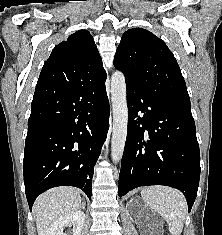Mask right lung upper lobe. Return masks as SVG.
Masks as SVG:
<instances>
[{
	"instance_id": "1",
	"label": "right lung upper lobe",
	"mask_w": 222,
	"mask_h": 235,
	"mask_svg": "<svg viewBox=\"0 0 222 235\" xmlns=\"http://www.w3.org/2000/svg\"><path fill=\"white\" fill-rule=\"evenodd\" d=\"M106 75L93 37L78 30L53 49L44 63L37 85L65 87L89 82ZM36 85V86H37ZM49 118L46 114L30 116L28 123Z\"/></svg>"
}]
</instances>
